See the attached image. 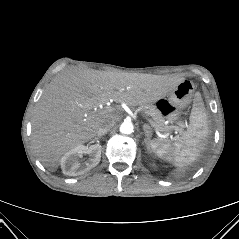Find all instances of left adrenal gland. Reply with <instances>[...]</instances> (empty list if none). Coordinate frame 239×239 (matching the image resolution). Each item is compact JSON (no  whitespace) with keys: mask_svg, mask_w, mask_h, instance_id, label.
Here are the masks:
<instances>
[{"mask_svg":"<svg viewBox=\"0 0 239 239\" xmlns=\"http://www.w3.org/2000/svg\"><path fill=\"white\" fill-rule=\"evenodd\" d=\"M143 130H144V134H145L144 142H145V145H146L147 149L149 150V142H150L151 137H152V130H151V127L148 124L143 125Z\"/></svg>","mask_w":239,"mask_h":239,"instance_id":"obj_1","label":"left adrenal gland"}]
</instances>
